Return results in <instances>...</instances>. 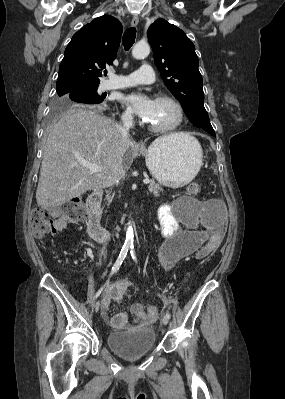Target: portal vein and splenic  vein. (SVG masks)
Returning <instances> with one entry per match:
<instances>
[{"label": "portal vein and splenic vein", "mask_w": 285, "mask_h": 399, "mask_svg": "<svg viewBox=\"0 0 285 399\" xmlns=\"http://www.w3.org/2000/svg\"><path fill=\"white\" fill-rule=\"evenodd\" d=\"M84 167L88 168L91 172H100L102 170V167L96 164L92 163H83L82 164ZM144 184H149L150 180L149 179H144L143 180Z\"/></svg>", "instance_id": "18ae733b"}]
</instances>
